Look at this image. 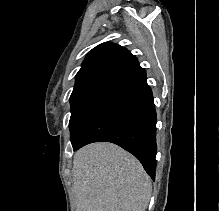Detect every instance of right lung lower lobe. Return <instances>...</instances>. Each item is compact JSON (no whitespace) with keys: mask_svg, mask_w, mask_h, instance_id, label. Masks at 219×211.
Returning <instances> with one entry per match:
<instances>
[{"mask_svg":"<svg viewBox=\"0 0 219 211\" xmlns=\"http://www.w3.org/2000/svg\"><path fill=\"white\" fill-rule=\"evenodd\" d=\"M156 121L152 91L140 69L109 91L72 143L73 150L93 142L115 143L132 153L154 180Z\"/></svg>","mask_w":219,"mask_h":211,"instance_id":"right-lung-lower-lobe-1","label":"right lung lower lobe"}]
</instances>
